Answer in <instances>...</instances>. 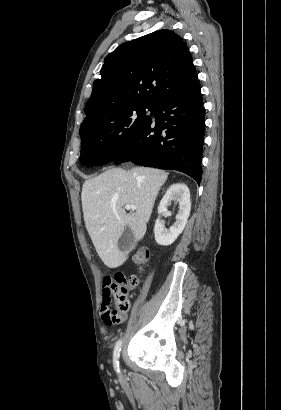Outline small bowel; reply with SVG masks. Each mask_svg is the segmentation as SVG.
<instances>
[{"instance_id": "small-bowel-1", "label": "small bowel", "mask_w": 281, "mask_h": 410, "mask_svg": "<svg viewBox=\"0 0 281 410\" xmlns=\"http://www.w3.org/2000/svg\"><path fill=\"white\" fill-rule=\"evenodd\" d=\"M112 284V278L109 275H106L102 279V303H101V314L104 319V315L110 309V286ZM125 318L124 315H121V321ZM120 321V322H121Z\"/></svg>"}]
</instances>
